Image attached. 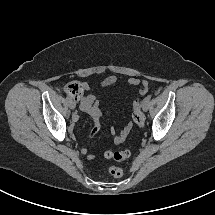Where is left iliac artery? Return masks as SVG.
Segmentation results:
<instances>
[{"label": "left iliac artery", "instance_id": "obj_1", "mask_svg": "<svg viewBox=\"0 0 215 215\" xmlns=\"http://www.w3.org/2000/svg\"><path fill=\"white\" fill-rule=\"evenodd\" d=\"M151 97H152L151 95H148L146 98H142L138 106L141 108L143 105H145V103H147V101L151 99Z\"/></svg>", "mask_w": 215, "mask_h": 215}]
</instances>
